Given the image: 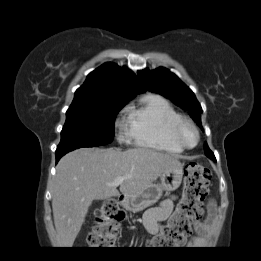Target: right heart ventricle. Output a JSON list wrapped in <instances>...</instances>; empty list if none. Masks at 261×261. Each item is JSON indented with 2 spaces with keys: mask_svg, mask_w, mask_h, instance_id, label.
<instances>
[{
  "mask_svg": "<svg viewBox=\"0 0 261 261\" xmlns=\"http://www.w3.org/2000/svg\"><path fill=\"white\" fill-rule=\"evenodd\" d=\"M126 112L128 136L135 145L171 154L183 152L174 136L181 115L167 99L147 94Z\"/></svg>",
  "mask_w": 261,
  "mask_h": 261,
  "instance_id": "obj_1",
  "label": "right heart ventricle"
}]
</instances>
